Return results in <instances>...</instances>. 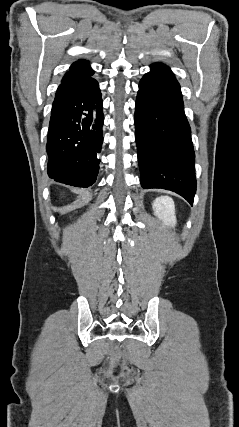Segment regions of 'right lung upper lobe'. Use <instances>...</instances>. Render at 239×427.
I'll list each match as a JSON object with an SVG mask.
<instances>
[{
	"mask_svg": "<svg viewBox=\"0 0 239 427\" xmlns=\"http://www.w3.org/2000/svg\"><path fill=\"white\" fill-rule=\"evenodd\" d=\"M90 72H93V70L90 68L89 62L86 60H79L71 65L69 72L65 74L63 79L90 73Z\"/></svg>",
	"mask_w": 239,
	"mask_h": 427,
	"instance_id": "cb5924a9",
	"label": "right lung upper lobe"
}]
</instances>
